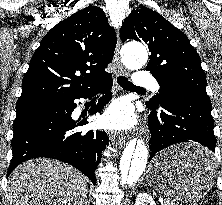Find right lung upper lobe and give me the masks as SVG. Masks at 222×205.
Listing matches in <instances>:
<instances>
[{"instance_id":"1","label":"right lung upper lobe","mask_w":222,"mask_h":205,"mask_svg":"<svg viewBox=\"0 0 222 205\" xmlns=\"http://www.w3.org/2000/svg\"><path fill=\"white\" fill-rule=\"evenodd\" d=\"M116 34L103 10L88 6L54 26L33 54L17 103L68 100L111 74Z\"/></svg>"}]
</instances>
